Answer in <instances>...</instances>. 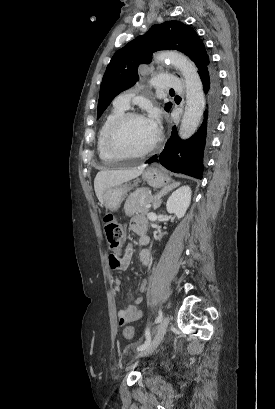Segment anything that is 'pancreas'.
<instances>
[{
    "label": "pancreas",
    "mask_w": 275,
    "mask_h": 409,
    "mask_svg": "<svg viewBox=\"0 0 275 409\" xmlns=\"http://www.w3.org/2000/svg\"><path fill=\"white\" fill-rule=\"evenodd\" d=\"M152 196L149 188H137L134 192L129 194L124 205L125 215L132 217L134 213H148L146 209L147 202H150Z\"/></svg>",
    "instance_id": "obj_1"
}]
</instances>
